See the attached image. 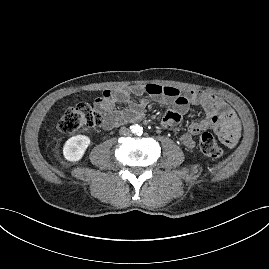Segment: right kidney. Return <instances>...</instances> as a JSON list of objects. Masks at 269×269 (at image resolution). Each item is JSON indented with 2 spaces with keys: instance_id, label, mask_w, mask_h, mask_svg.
Returning a JSON list of instances; mask_svg holds the SVG:
<instances>
[{
  "instance_id": "1",
  "label": "right kidney",
  "mask_w": 269,
  "mask_h": 269,
  "mask_svg": "<svg viewBox=\"0 0 269 269\" xmlns=\"http://www.w3.org/2000/svg\"><path fill=\"white\" fill-rule=\"evenodd\" d=\"M89 145L90 138L88 136H73L66 141L63 147L64 157L70 162H78L84 156Z\"/></svg>"
}]
</instances>
